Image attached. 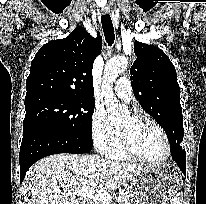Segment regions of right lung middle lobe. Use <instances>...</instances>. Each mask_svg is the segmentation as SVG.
Segmentation results:
<instances>
[{
    "label": "right lung middle lobe",
    "mask_w": 206,
    "mask_h": 204,
    "mask_svg": "<svg viewBox=\"0 0 206 204\" xmlns=\"http://www.w3.org/2000/svg\"><path fill=\"white\" fill-rule=\"evenodd\" d=\"M94 107V100L77 97L39 95L25 99L23 131L34 125H43L92 143Z\"/></svg>",
    "instance_id": "right-lung-middle-lobe-1"
}]
</instances>
